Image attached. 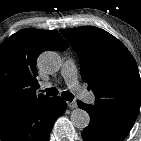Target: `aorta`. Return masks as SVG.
<instances>
[{"instance_id": "obj_1", "label": "aorta", "mask_w": 141, "mask_h": 141, "mask_svg": "<svg viewBox=\"0 0 141 141\" xmlns=\"http://www.w3.org/2000/svg\"><path fill=\"white\" fill-rule=\"evenodd\" d=\"M38 66L48 74L56 73L61 67L60 56L54 51H45L38 57ZM70 119L72 124L81 130L85 129L90 123L89 114L80 108H76L71 112Z\"/></svg>"}]
</instances>
